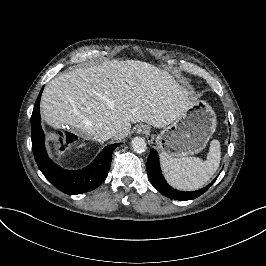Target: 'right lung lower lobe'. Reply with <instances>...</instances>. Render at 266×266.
Listing matches in <instances>:
<instances>
[{
    "label": "right lung lower lobe",
    "instance_id": "1",
    "mask_svg": "<svg viewBox=\"0 0 266 266\" xmlns=\"http://www.w3.org/2000/svg\"><path fill=\"white\" fill-rule=\"evenodd\" d=\"M43 88L35 102L31 117L32 149L40 171L57 189L69 195L97 188L106 179L112 152L119 144L105 147L92 163L81 170H65L56 165L47 155L44 145L45 135L41 128L40 98Z\"/></svg>",
    "mask_w": 266,
    "mask_h": 266
}]
</instances>
